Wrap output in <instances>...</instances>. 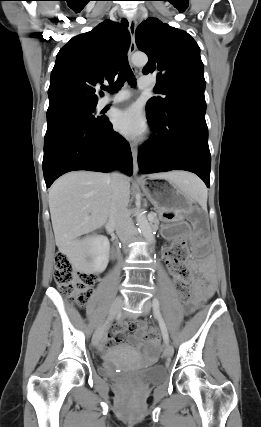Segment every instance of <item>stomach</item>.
I'll return each mask as SVG.
<instances>
[{
  "label": "stomach",
  "instance_id": "1",
  "mask_svg": "<svg viewBox=\"0 0 261 427\" xmlns=\"http://www.w3.org/2000/svg\"><path fill=\"white\" fill-rule=\"evenodd\" d=\"M140 186L165 222L182 220L191 209L190 198L173 181L150 178L142 181Z\"/></svg>",
  "mask_w": 261,
  "mask_h": 427
}]
</instances>
